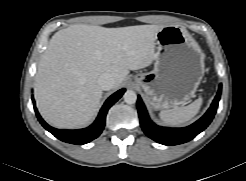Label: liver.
<instances>
[{"instance_id": "1", "label": "liver", "mask_w": 246, "mask_h": 181, "mask_svg": "<svg viewBox=\"0 0 246 181\" xmlns=\"http://www.w3.org/2000/svg\"><path fill=\"white\" fill-rule=\"evenodd\" d=\"M159 25L104 28L70 25L56 32L39 62L34 95L42 117L62 129L87 125L95 116L102 89L98 78L110 73L119 87L129 70L155 60Z\"/></svg>"}]
</instances>
